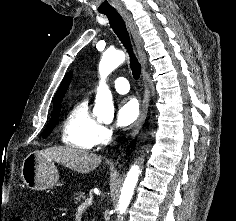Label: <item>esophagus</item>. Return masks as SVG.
Segmentation results:
<instances>
[{
    "label": "esophagus",
    "mask_w": 236,
    "mask_h": 221,
    "mask_svg": "<svg viewBox=\"0 0 236 221\" xmlns=\"http://www.w3.org/2000/svg\"><path fill=\"white\" fill-rule=\"evenodd\" d=\"M119 13L124 19L126 25L128 26L131 32V35L133 37V40L137 48L140 61L143 66L142 78L144 82V93H143V99H142L141 112H140L139 118L137 119L135 123L134 129L131 133V138H134L136 134L138 133V131L140 130V128L142 127V125L144 124V121L146 119L147 112H148L149 101H150V89L147 82V72H146L147 58H146V54L143 48L142 38L139 34L138 28L135 22L133 21L131 15L126 10H119Z\"/></svg>",
    "instance_id": "34e87169"
}]
</instances>
